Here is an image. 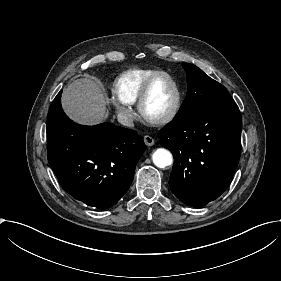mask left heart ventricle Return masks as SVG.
Here are the masks:
<instances>
[{
  "mask_svg": "<svg viewBox=\"0 0 281 281\" xmlns=\"http://www.w3.org/2000/svg\"><path fill=\"white\" fill-rule=\"evenodd\" d=\"M173 100L174 90L171 82L166 79L161 80L155 85L144 110L150 117L162 118L170 112Z\"/></svg>",
  "mask_w": 281,
  "mask_h": 281,
  "instance_id": "b2bd125f",
  "label": "left heart ventricle"
}]
</instances>
